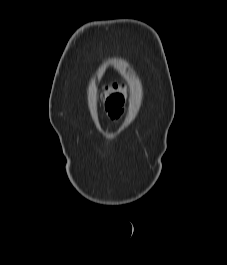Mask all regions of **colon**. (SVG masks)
<instances>
[{
	"label": "colon",
	"instance_id": "obj_1",
	"mask_svg": "<svg viewBox=\"0 0 227 265\" xmlns=\"http://www.w3.org/2000/svg\"><path fill=\"white\" fill-rule=\"evenodd\" d=\"M105 99V106L112 118L118 117L123 109L125 95L121 84H111L104 88L102 93Z\"/></svg>",
	"mask_w": 227,
	"mask_h": 265
}]
</instances>
